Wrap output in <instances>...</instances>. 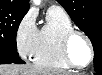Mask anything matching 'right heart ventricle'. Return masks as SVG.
I'll return each instance as SVG.
<instances>
[{
    "label": "right heart ventricle",
    "instance_id": "obj_1",
    "mask_svg": "<svg viewBox=\"0 0 102 75\" xmlns=\"http://www.w3.org/2000/svg\"><path fill=\"white\" fill-rule=\"evenodd\" d=\"M74 29L72 19L66 11L59 7H50L46 21L38 30L33 61L36 64L66 69L70 65L61 52V40L70 30Z\"/></svg>",
    "mask_w": 102,
    "mask_h": 75
}]
</instances>
